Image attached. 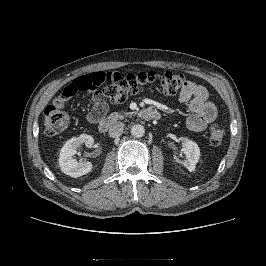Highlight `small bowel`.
I'll return each mask as SVG.
<instances>
[{
  "instance_id": "c3829d8e",
  "label": "small bowel",
  "mask_w": 266,
  "mask_h": 266,
  "mask_svg": "<svg viewBox=\"0 0 266 266\" xmlns=\"http://www.w3.org/2000/svg\"><path fill=\"white\" fill-rule=\"evenodd\" d=\"M91 100L94 104L93 110L101 114L109 110V105L101 94L93 93ZM179 101L188 105L192 113L187 119V126L192 131H203L209 123L217 118V108L208 100V91L202 85L192 81H185L179 94Z\"/></svg>"
}]
</instances>
